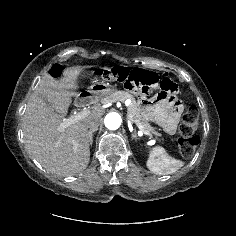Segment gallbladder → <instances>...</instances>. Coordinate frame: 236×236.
I'll use <instances>...</instances> for the list:
<instances>
[{
  "instance_id": "bac80fb5",
  "label": "gallbladder",
  "mask_w": 236,
  "mask_h": 236,
  "mask_svg": "<svg viewBox=\"0 0 236 236\" xmlns=\"http://www.w3.org/2000/svg\"><path fill=\"white\" fill-rule=\"evenodd\" d=\"M42 100L46 103V105H47L49 108L53 109L52 105H51L44 97H42Z\"/></svg>"
}]
</instances>
